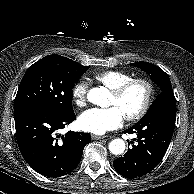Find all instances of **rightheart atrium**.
I'll return each instance as SVG.
<instances>
[{
    "label": "right heart atrium",
    "mask_w": 194,
    "mask_h": 194,
    "mask_svg": "<svg viewBox=\"0 0 194 194\" xmlns=\"http://www.w3.org/2000/svg\"><path fill=\"white\" fill-rule=\"evenodd\" d=\"M89 82L87 79H79L72 87L71 95L73 101L78 106H83L87 100Z\"/></svg>",
    "instance_id": "d8ad5b80"
}]
</instances>
